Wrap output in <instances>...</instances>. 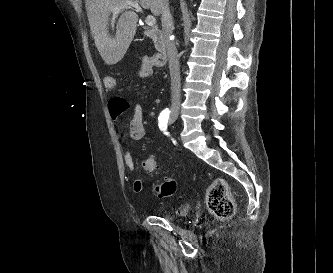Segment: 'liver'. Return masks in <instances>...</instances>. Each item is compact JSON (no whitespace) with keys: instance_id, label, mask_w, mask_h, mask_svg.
Returning <instances> with one entry per match:
<instances>
[{"instance_id":"obj_1","label":"liver","mask_w":333,"mask_h":273,"mask_svg":"<svg viewBox=\"0 0 333 273\" xmlns=\"http://www.w3.org/2000/svg\"><path fill=\"white\" fill-rule=\"evenodd\" d=\"M128 1H135L143 8L150 9L155 16H158L161 13V0L85 1L87 16L95 45L100 53V56L108 65L116 64L124 57L136 32L138 16L131 10L121 12L117 22L115 37H111L108 31L110 15L113 13L114 8L123 5Z\"/></svg>"}]
</instances>
